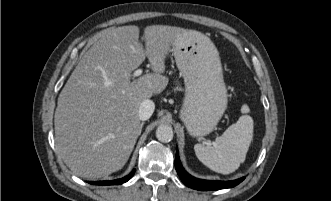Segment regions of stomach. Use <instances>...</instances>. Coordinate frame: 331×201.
Segmentation results:
<instances>
[{
    "label": "stomach",
    "instance_id": "stomach-1",
    "mask_svg": "<svg viewBox=\"0 0 331 201\" xmlns=\"http://www.w3.org/2000/svg\"><path fill=\"white\" fill-rule=\"evenodd\" d=\"M172 52L185 83L180 118L191 136H206L227 108V89L217 48L206 35L187 30L173 44Z\"/></svg>",
    "mask_w": 331,
    "mask_h": 201
}]
</instances>
